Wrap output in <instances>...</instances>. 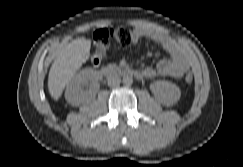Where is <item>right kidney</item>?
<instances>
[{"label":"right kidney","mask_w":243,"mask_h":167,"mask_svg":"<svg viewBox=\"0 0 243 167\" xmlns=\"http://www.w3.org/2000/svg\"><path fill=\"white\" fill-rule=\"evenodd\" d=\"M101 79V73L92 68L80 71L68 83L65 99L73 106L85 103L99 89L98 82Z\"/></svg>","instance_id":"obj_1"}]
</instances>
